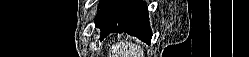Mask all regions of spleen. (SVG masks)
<instances>
[{"instance_id":"1","label":"spleen","mask_w":249,"mask_h":57,"mask_svg":"<svg viewBox=\"0 0 249 57\" xmlns=\"http://www.w3.org/2000/svg\"><path fill=\"white\" fill-rule=\"evenodd\" d=\"M137 48H139V47H137L136 45H134L130 42L126 43L125 45H123L122 51L115 54V57H130L129 52L133 49L136 50ZM139 55H140V53H138V57H139Z\"/></svg>"}]
</instances>
